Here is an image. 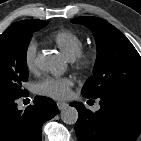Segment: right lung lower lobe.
Segmentation results:
<instances>
[{
	"label": "right lung lower lobe",
	"mask_w": 141,
	"mask_h": 141,
	"mask_svg": "<svg viewBox=\"0 0 141 141\" xmlns=\"http://www.w3.org/2000/svg\"><path fill=\"white\" fill-rule=\"evenodd\" d=\"M18 98L0 99V141H41L43 123L58 113L56 103L37 96L34 105L21 111L16 104Z\"/></svg>",
	"instance_id": "right-lung-lower-lobe-1"
}]
</instances>
